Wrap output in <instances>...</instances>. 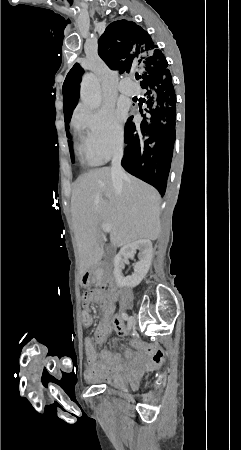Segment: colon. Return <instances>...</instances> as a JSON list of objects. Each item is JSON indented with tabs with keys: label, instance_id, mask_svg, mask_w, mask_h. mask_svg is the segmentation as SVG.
Segmentation results:
<instances>
[{
	"label": "colon",
	"instance_id": "colon-1",
	"mask_svg": "<svg viewBox=\"0 0 241 450\" xmlns=\"http://www.w3.org/2000/svg\"><path fill=\"white\" fill-rule=\"evenodd\" d=\"M79 323L83 324L85 328H92L93 327V316L88 315L87 313H80L79 314Z\"/></svg>",
	"mask_w": 241,
	"mask_h": 450
}]
</instances>
